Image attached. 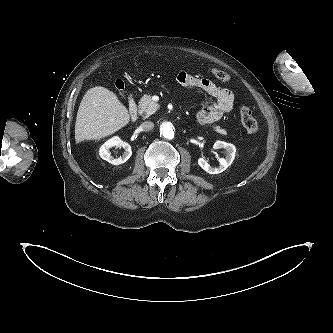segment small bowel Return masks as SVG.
<instances>
[{
    "instance_id": "small-bowel-1",
    "label": "small bowel",
    "mask_w": 333,
    "mask_h": 333,
    "mask_svg": "<svg viewBox=\"0 0 333 333\" xmlns=\"http://www.w3.org/2000/svg\"><path fill=\"white\" fill-rule=\"evenodd\" d=\"M177 81L184 87H196L208 93L214 101L198 113L202 124H212L228 114L233 109L234 95L227 89L217 86L211 80L182 71L177 75Z\"/></svg>"
}]
</instances>
